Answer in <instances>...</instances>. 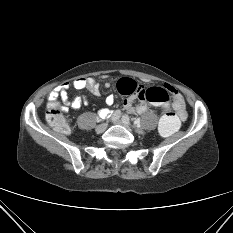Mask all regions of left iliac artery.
Returning a JSON list of instances; mask_svg holds the SVG:
<instances>
[{
    "label": "left iliac artery",
    "instance_id": "left-iliac-artery-1",
    "mask_svg": "<svg viewBox=\"0 0 233 233\" xmlns=\"http://www.w3.org/2000/svg\"><path fill=\"white\" fill-rule=\"evenodd\" d=\"M122 120L123 121H125V123L127 124V125H129L130 127H132L133 129H135L136 131H138V132H142L143 134H147L148 132L146 131V130H142L140 127H137L134 123L132 124L131 122H130V119H129V117H128V115H123L122 116Z\"/></svg>",
    "mask_w": 233,
    "mask_h": 233
}]
</instances>
